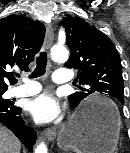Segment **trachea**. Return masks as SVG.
Wrapping results in <instances>:
<instances>
[{
	"instance_id": "trachea-1",
	"label": "trachea",
	"mask_w": 130,
	"mask_h": 153,
	"mask_svg": "<svg viewBox=\"0 0 130 153\" xmlns=\"http://www.w3.org/2000/svg\"><path fill=\"white\" fill-rule=\"evenodd\" d=\"M47 66V55L45 52H41L40 55L37 57V65L33 73L30 75L31 78H37L43 76L46 72ZM20 77V75H17Z\"/></svg>"
}]
</instances>
